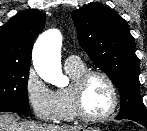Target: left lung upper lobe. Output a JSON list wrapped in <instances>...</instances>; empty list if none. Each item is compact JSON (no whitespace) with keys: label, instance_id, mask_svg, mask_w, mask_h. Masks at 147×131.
<instances>
[{"label":"left lung upper lobe","instance_id":"left-lung-upper-lobe-1","mask_svg":"<svg viewBox=\"0 0 147 131\" xmlns=\"http://www.w3.org/2000/svg\"><path fill=\"white\" fill-rule=\"evenodd\" d=\"M72 18L81 47L119 88L121 111L116 118L147 122L140 95L139 59L127 22L100 3L74 10Z\"/></svg>","mask_w":147,"mask_h":131}]
</instances>
